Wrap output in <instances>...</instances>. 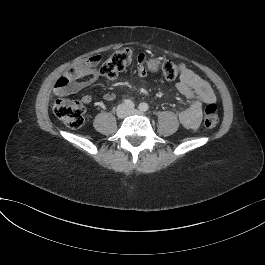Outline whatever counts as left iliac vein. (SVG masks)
<instances>
[{"instance_id": "obj_1", "label": "left iliac vein", "mask_w": 265, "mask_h": 265, "mask_svg": "<svg viewBox=\"0 0 265 265\" xmlns=\"http://www.w3.org/2000/svg\"><path fill=\"white\" fill-rule=\"evenodd\" d=\"M128 114H137V115H144L142 111L136 110V109H129Z\"/></svg>"}]
</instances>
